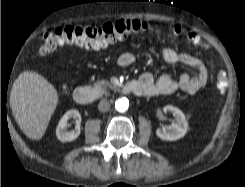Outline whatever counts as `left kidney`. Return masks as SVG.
I'll list each match as a JSON object with an SVG mask.
<instances>
[{
  "instance_id": "1",
  "label": "left kidney",
  "mask_w": 245,
  "mask_h": 187,
  "mask_svg": "<svg viewBox=\"0 0 245 187\" xmlns=\"http://www.w3.org/2000/svg\"><path fill=\"white\" fill-rule=\"evenodd\" d=\"M163 111L165 113H172L175 117L176 123H172L170 126L164 127L162 129H157L156 135L160 139L166 141H175L184 137L188 129V122L184 113L180 109L171 105L165 106Z\"/></svg>"
}]
</instances>
